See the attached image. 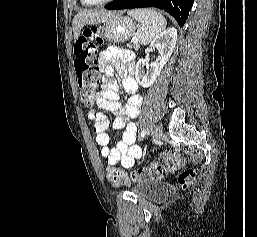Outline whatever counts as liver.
Here are the masks:
<instances>
[{
    "label": "liver",
    "mask_w": 257,
    "mask_h": 237,
    "mask_svg": "<svg viewBox=\"0 0 257 237\" xmlns=\"http://www.w3.org/2000/svg\"><path fill=\"white\" fill-rule=\"evenodd\" d=\"M120 14L121 13L107 12L104 10L79 12L77 15H75L72 23L74 41L78 39L84 25L101 23Z\"/></svg>",
    "instance_id": "liver-1"
}]
</instances>
